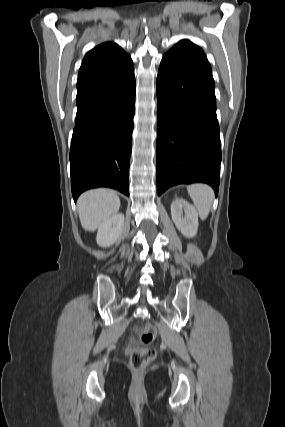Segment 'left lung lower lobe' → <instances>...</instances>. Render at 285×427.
I'll use <instances>...</instances> for the list:
<instances>
[{"instance_id":"0a47b994","label":"left lung lower lobe","mask_w":285,"mask_h":427,"mask_svg":"<svg viewBox=\"0 0 285 427\" xmlns=\"http://www.w3.org/2000/svg\"><path fill=\"white\" fill-rule=\"evenodd\" d=\"M214 80L164 56L157 76V193L205 182L217 195L221 148Z\"/></svg>"}]
</instances>
